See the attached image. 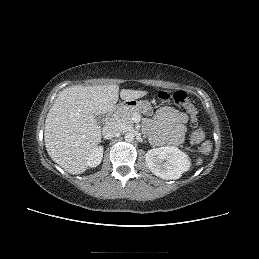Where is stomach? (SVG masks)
<instances>
[{
	"mask_svg": "<svg viewBox=\"0 0 259 259\" xmlns=\"http://www.w3.org/2000/svg\"><path fill=\"white\" fill-rule=\"evenodd\" d=\"M124 108H131V109H136L141 113L144 114H149L152 110V106L149 101L146 100H136V99H131L124 101L123 103Z\"/></svg>",
	"mask_w": 259,
	"mask_h": 259,
	"instance_id": "1",
	"label": "stomach"
}]
</instances>
